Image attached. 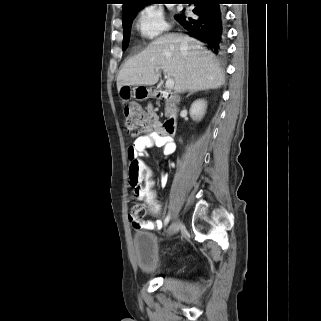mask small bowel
<instances>
[{
  "instance_id": "obj_1",
  "label": "small bowel",
  "mask_w": 321,
  "mask_h": 321,
  "mask_svg": "<svg viewBox=\"0 0 321 321\" xmlns=\"http://www.w3.org/2000/svg\"><path fill=\"white\" fill-rule=\"evenodd\" d=\"M153 146L160 147L163 149L165 156H170L175 151V144L170 136H168L160 123L154 119V130L138 137L133 146L128 149V157L139 156L144 154L146 149L151 148ZM167 181V176L162 174L161 183L165 184ZM140 200V206L146 210L144 207V198H138ZM135 228L138 229H148V230H159L162 227L161 220L156 221H141L138 225H134Z\"/></svg>"
}]
</instances>
